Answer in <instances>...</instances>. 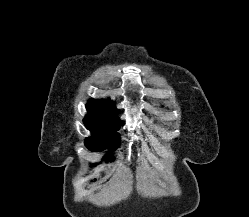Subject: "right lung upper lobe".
<instances>
[{
	"instance_id": "cb5924a9",
	"label": "right lung upper lobe",
	"mask_w": 249,
	"mask_h": 217,
	"mask_svg": "<svg viewBox=\"0 0 249 217\" xmlns=\"http://www.w3.org/2000/svg\"><path fill=\"white\" fill-rule=\"evenodd\" d=\"M86 107L89 112L109 117L120 122L118 116L115 114L117 110L114 107V103L110 100L90 99L87 102Z\"/></svg>"
}]
</instances>
